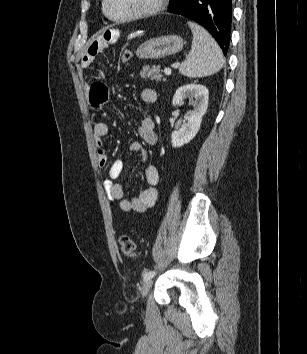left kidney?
<instances>
[{"mask_svg":"<svg viewBox=\"0 0 307 354\" xmlns=\"http://www.w3.org/2000/svg\"><path fill=\"white\" fill-rule=\"evenodd\" d=\"M186 98H192L193 109L187 112V123L182 125L178 131H173L171 135L172 146L178 148L189 143L198 133L202 122V117L205 115L209 92L208 89L199 84H188L179 87L173 97V106L181 105Z\"/></svg>","mask_w":307,"mask_h":354,"instance_id":"left-kidney-1","label":"left kidney"}]
</instances>
